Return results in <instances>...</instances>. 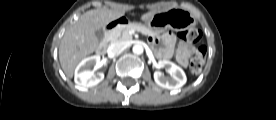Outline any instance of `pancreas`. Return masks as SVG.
Here are the masks:
<instances>
[{"label": "pancreas", "mask_w": 276, "mask_h": 120, "mask_svg": "<svg viewBox=\"0 0 276 120\" xmlns=\"http://www.w3.org/2000/svg\"><path fill=\"white\" fill-rule=\"evenodd\" d=\"M132 29L139 31L144 35H154V32H152L144 25H141L139 23H129L127 25H121L113 29L110 33V41L118 42L130 40L132 38V35L129 34V31Z\"/></svg>", "instance_id": "pancreas-1"}]
</instances>
